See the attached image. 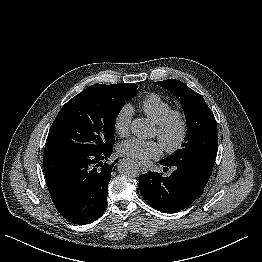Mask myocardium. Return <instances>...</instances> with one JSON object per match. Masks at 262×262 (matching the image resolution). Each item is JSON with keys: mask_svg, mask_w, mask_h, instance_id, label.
<instances>
[{"mask_svg": "<svg viewBox=\"0 0 262 262\" xmlns=\"http://www.w3.org/2000/svg\"><path fill=\"white\" fill-rule=\"evenodd\" d=\"M178 126V133L174 139L170 138L171 129ZM157 137L167 153L179 151L185 144L189 133V121L187 114L180 109H172L166 117L157 123Z\"/></svg>", "mask_w": 262, "mask_h": 262, "instance_id": "1", "label": "myocardium"}]
</instances>
